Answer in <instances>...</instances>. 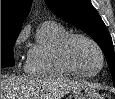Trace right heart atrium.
Segmentation results:
<instances>
[{
	"mask_svg": "<svg viewBox=\"0 0 115 99\" xmlns=\"http://www.w3.org/2000/svg\"><path fill=\"white\" fill-rule=\"evenodd\" d=\"M28 36V29L24 28L19 35L17 36V38L15 39L14 42V53H17L19 47L21 46V44L26 40Z\"/></svg>",
	"mask_w": 115,
	"mask_h": 99,
	"instance_id": "obj_1",
	"label": "right heart atrium"
}]
</instances>
